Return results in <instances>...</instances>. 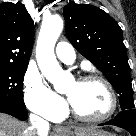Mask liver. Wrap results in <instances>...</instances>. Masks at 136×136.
I'll return each instance as SVG.
<instances>
[{
	"label": "liver",
	"mask_w": 136,
	"mask_h": 136,
	"mask_svg": "<svg viewBox=\"0 0 136 136\" xmlns=\"http://www.w3.org/2000/svg\"><path fill=\"white\" fill-rule=\"evenodd\" d=\"M92 130L93 128H76L75 132L84 133ZM35 134L26 123L0 113V136H32Z\"/></svg>",
	"instance_id": "liver-1"
}]
</instances>
